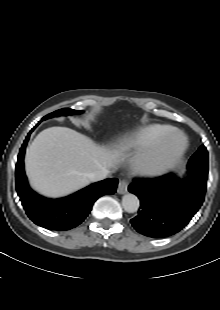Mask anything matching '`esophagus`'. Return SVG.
<instances>
[{
    "label": "esophagus",
    "mask_w": 220,
    "mask_h": 310,
    "mask_svg": "<svg viewBox=\"0 0 220 310\" xmlns=\"http://www.w3.org/2000/svg\"><path fill=\"white\" fill-rule=\"evenodd\" d=\"M127 189H128L127 181L124 179L120 180L118 184L117 192L119 194H125L127 192Z\"/></svg>",
    "instance_id": "34e87169"
}]
</instances>
